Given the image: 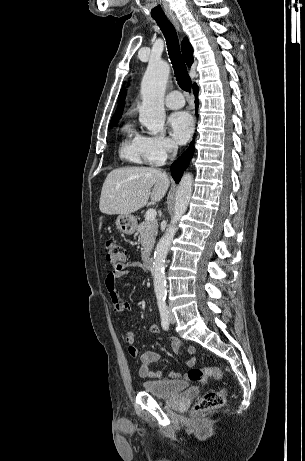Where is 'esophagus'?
I'll return each mask as SVG.
<instances>
[{
    "label": "esophagus",
    "instance_id": "esophagus-1",
    "mask_svg": "<svg viewBox=\"0 0 305 461\" xmlns=\"http://www.w3.org/2000/svg\"><path fill=\"white\" fill-rule=\"evenodd\" d=\"M169 20L172 22V24L175 26V28L178 31H181L180 23H179L178 19L176 18V16H174V15L169 16Z\"/></svg>",
    "mask_w": 305,
    "mask_h": 461
}]
</instances>
